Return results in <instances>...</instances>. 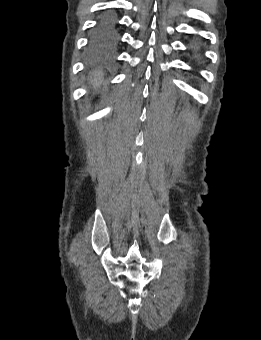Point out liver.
Returning <instances> with one entry per match:
<instances>
[{"mask_svg": "<svg viewBox=\"0 0 261 340\" xmlns=\"http://www.w3.org/2000/svg\"><path fill=\"white\" fill-rule=\"evenodd\" d=\"M102 84V81H101V77L99 76L98 73L95 74V78L94 80H92V85L95 87V88H98L100 87Z\"/></svg>", "mask_w": 261, "mask_h": 340, "instance_id": "liver-1", "label": "liver"}]
</instances>
